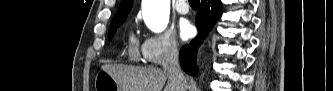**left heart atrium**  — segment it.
<instances>
[{
    "mask_svg": "<svg viewBox=\"0 0 333 91\" xmlns=\"http://www.w3.org/2000/svg\"><path fill=\"white\" fill-rule=\"evenodd\" d=\"M179 34L183 40H187L194 35V27L188 20H183L179 24Z\"/></svg>",
    "mask_w": 333,
    "mask_h": 91,
    "instance_id": "left-heart-atrium-1",
    "label": "left heart atrium"
}]
</instances>
